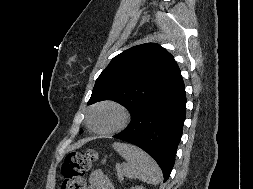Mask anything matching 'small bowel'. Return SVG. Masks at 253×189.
I'll return each instance as SVG.
<instances>
[{"label":"small bowel","instance_id":"c3829d8e","mask_svg":"<svg viewBox=\"0 0 253 189\" xmlns=\"http://www.w3.org/2000/svg\"><path fill=\"white\" fill-rule=\"evenodd\" d=\"M88 189H115L110 178L101 170L93 171L89 176Z\"/></svg>","mask_w":253,"mask_h":189}]
</instances>
